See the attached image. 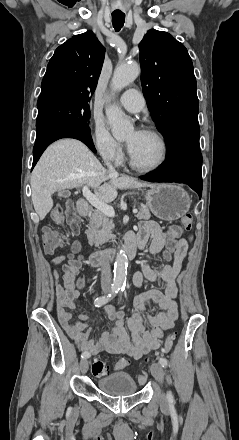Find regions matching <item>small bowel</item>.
Instances as JSON below:
<instances>
[{
  "label": "small bowel",
  "instance_id": "c3829d8e",
  "mask_svg": "<svg viewBox=\"0 0 239 440\" xmlns=\"http://www.w3.org/2000/svg\"><path fill=\"white\" fill-rule=\"evenodd\" d=\"M169 236L170 232H164L155 222L143 221L136 233L128 235L127 242H133L140 249H144L150 240L148 254H155L167 246ZM187 250V240L180 238L172 249L167 247L166 258L170 259L173 253L172 265L162 264L158 267H151L144 262L141 271L134 275L135 286L142 288L143 280L147 279L159 284L160 289L143 290L135 297L134 313L127 320L128 332L124 327L123 313L115 311L113 307H107L105 314L110 322V330L103 332L96 340L90 339L91 319L87 315L80 314L76 320H73V315L69 311L75 308L76 300L80 297L75 278L68 276L65 272L63 278L60 279L56 271L57 314L62 327L81 351L88 352L90 355L108 351L140 359L150 351L157 350L162 344L164 331L172 328L178 318L176 279L183 270ZM65 258V256H59L54 262L58 264ZM150 304H154L158 310L155 315L145 312L146 306ZM145 323L149 325V328L145 327Z\"/></svg>",
  "mask_w": 239,
  "mask_h": 440
}]
</instances>
